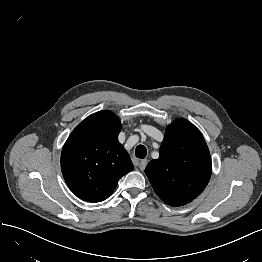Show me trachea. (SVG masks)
I'll list each match as a JSON object with an SVG mask.
<instances>
[{"mask_svg":"<svg viewBox=\"0 0 262 262\" xmlns=\"http://www.w3.org/2000/svg\"><path fill=\"white\" fill-rule=\"evenodd\" d=\"M136 157L139 159H144L147 155V149L143 145H138L135 150Z\"/></svg>","mask_w":262,"mask_h":262,"instance_id":"1","label":"trachea"}]
</instances>
